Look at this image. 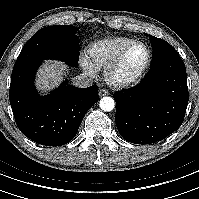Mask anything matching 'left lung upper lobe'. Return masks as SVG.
<instances>
[{
    "mask_svg": "<svg viewBox=\"0 0 199 199\" xmlns=\"http://www.w3.org/2000/svg\"><path fill=\"white\" fill-rule=\"evenodd\" d=\"M151 45L153 49L152 54V64L174 55H179L178 52L170 46L166 41L156 38L154 36H150ZM151 64V65H152Z\"/></svg>",
    "mask_w": 199,
    "mask_h": 199,
    "instance_id": "obj_1",
    "label": "left lung upper lobe"
}]
</instances>
